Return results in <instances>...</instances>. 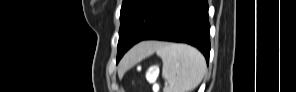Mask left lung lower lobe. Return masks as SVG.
Returning <instances> with one entry per match:
<instances>
[{
  "label": "left lung lower lobe",
  "instance_id": "0a47b994",
  "mask_svg": "<svg viewBox=\"0 0 296 92\" xmlns=\"http://www.w3.org/2000/svg\"><path fill=\"white\" fill-rule=\"evenodd\" d=\"M209 32L207 0H170L157 26L143 40L188 43L198 48L208 62Z\"/></svg>",
  "mask_w": 296,
  "mask_h": 92
}]
</instances>
